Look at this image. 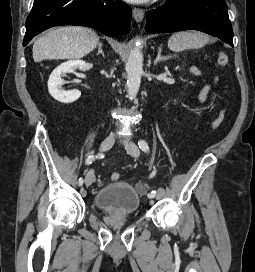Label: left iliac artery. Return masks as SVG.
I'll list each match as a JSON object with an SVG mask.
<instances>
[{
    "label": "left iliac artery",
    "instance_id": "obj_1",
    "mask_svg": "<svg viewBox=\"0 0 255 272\" xmlns=\"http://www.w3.org/2000/svg\"><path fill=\"white\" fill-rule=\"evenodd\" d=\"M139 148L144 151V152H148L149 151V147L148 144L145 140H140L138 142ZM150 176H155V171L153 173H150ZM156 195V191H152L150 194H148L149 198H153Z\"/></svg>",
    "mask_w": 255,
    "mask_h": 272
}]
</instances>
